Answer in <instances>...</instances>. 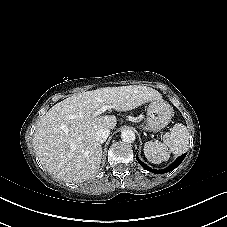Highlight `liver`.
Returning a JSON list of instances; mask_svg holds the SVG:
<instances>
[{"label":"liver","instance_id":"obj_1","mask_svg":"<svg viewBox=\"0 0 227 227\" xmlns=\"http://www.w3.org/2000/svg\"><path fill=\"white\" fill-rule=\"evenodd\" d=\"M158 99V91L140 85L97 89L66 98L37 124L33 143L40 163L65 182L79 183L94 177L102 159V147L94 135L99 129H113L117 119L114 115L93 117V113L104 105L129 111Z\"/></svg>","mask_w":227,"mask_h":227}]
</instances>
